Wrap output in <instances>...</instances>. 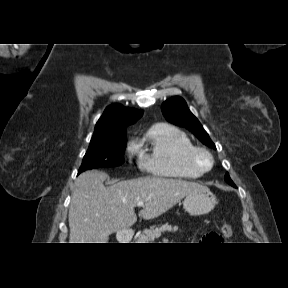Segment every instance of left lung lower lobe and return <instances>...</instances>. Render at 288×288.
Returning a JSON list of instances; mask_svg holds the SVG:
<instances>
[{"label": "left lung lower lobe", "mask_w": 288, "mask_h": 288, "mask_svg": "<svg viewBox=\"0 0 288 288\" xmlns=\"http://www.w3.org/2000/svg\"><path fill=\"white\" fill-rule=\"evenodd\" d=\"M230 185L233 186V187H236L234 183H231Z\"/></svg>", "instance_id": "left-lung-lower-lobe-1"}]
</instances>
